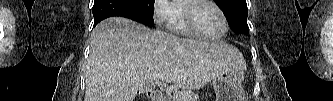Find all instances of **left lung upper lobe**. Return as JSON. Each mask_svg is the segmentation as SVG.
Wrapping results in <instances>:
<instances>
[{"mask_svg": "<svg viewBox=\"0 0 333 101\" xmlns=\"http://www.w3.org/2000/svg\"><path fill=\"white\" fill-rule=\"evenodd\" d=\"M224 11L232 30L237 34L248 35L246 0H214Z\"/></svg>", "mask_w": 333, "mask_h": 101, "instance_id": "obj_1", "label": "left lung upper lobe"}]
</instances>
